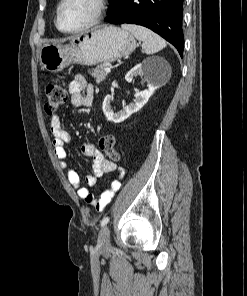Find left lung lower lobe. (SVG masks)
Segmentation results:
<instances>
[{
  "label": "left lung lower lobe",
  "instance_id": "1",
  "mask_svg": "<svg viewBox=\"0 0 247 296\" xmlns=\"http://www.w3.org/2000/svg\"><path fill=\"white\" fill-rule=\"evenodd\" d=\"M183 0H111L110 24H138L158 33L173 44L183 57Z\"/></svg>",
  "mask_w": 247,
  "mask_h": 296
}]
</instances>
